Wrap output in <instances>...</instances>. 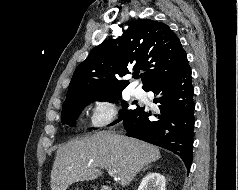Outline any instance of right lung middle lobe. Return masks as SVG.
I'll return each mask as SVG.
<instances>
[{"label":"right lung middle lobe","mask_w":238,"mask_h":190,"mask_svg":"<svg viewBox=\"0 0 238 190\" xmlns=\"http://www.w3.org/2000/svg\"><path fill=\"white\" fill-rule=\"evenodd\" d=\"M120 94L113 95H93V94H81L67 99L64 103L63 110L61 112V121L63 124L69 126L75 125V120L78 115L82 112L83 108L93 101H108L114 102L115 99L119 98ZM123 110L119 113V119L113 122L111 125L120 122L125 117L136 111V109H130L127 102H122Z\"/></svg>","instance_id":"1"}]
</instances>
